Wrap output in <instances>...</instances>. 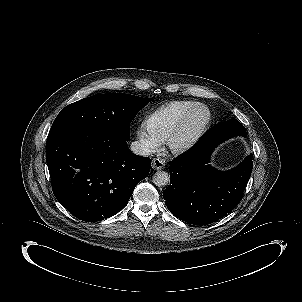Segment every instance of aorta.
I'll list each match as a JSON object with an SVG mask.
<instances>
[{"label": "aorta", "instance_id": "aorta-1", "mask_svg": "<svg viewBox=\"0 0 302 302\" xmlns=\"http://www.w3.org/2000/svg\"><path fill=\"white\" fill-rule=\"evenodd\" d=\"M153 183L156 186H166L169 184L170 182V176L167 172L165 171H157L154 175H153Z\"/></svg>", "mask_w": 302, "mask_h": 302}]
</instances>
